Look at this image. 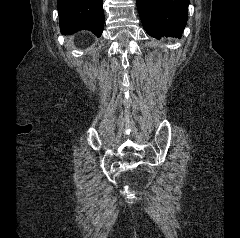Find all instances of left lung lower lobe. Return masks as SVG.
Instances as JSON below:
<instances>
[{"instance_id":"obj_1","label":"left lung lower lobe","mask_w":240,"mask_h":238,"mask_svg":"<svg viewBox=\"0 0 240 238\" xmlns=\"http://www.w3.org/2000/svg\"><path fill=\"white\" fill-rule=\"evenodd\" d=\"M189 0H137L144 29L151 37H181L188 20Z\"/></svg>"}]
</instances>
